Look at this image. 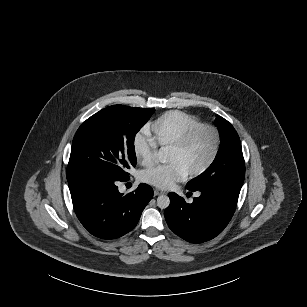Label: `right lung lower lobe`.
<instances>
[{"instance_id": "98d812e1", "label": "right lung lower lobe", "mask_w": 307, "mask_h": 307, "mask_svg": "<svg viewBox=\"0 0 307 307\" xmlns=\"http://www.w3.org/2000/svg\"><path fill=\"white\" fill-rule=\"evenodd\" d=\"M127 180V179H126ZM112 176H87L68 182L73 207L82 225L101 239H115L131 231L153 197L147 184L125 196Z\"/></svg>"}]
</instances>
